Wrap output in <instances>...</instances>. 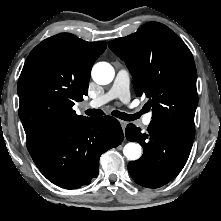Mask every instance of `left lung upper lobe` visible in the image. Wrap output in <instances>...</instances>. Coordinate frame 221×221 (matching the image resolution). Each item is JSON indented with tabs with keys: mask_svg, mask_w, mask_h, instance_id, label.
<instances>
[{
	"mask_svg": "<svg viewBox=\"0 0 221 221\" xmlns=\"http://www.w3.org/2000/svg\"><path fill=\"white\" fill-rule=\"evenodd\" d=\"M108 45L125 61L137 96L149 98L152 121L195 133L197 72L185 43L167 26L149 22Z\"/></svg>",
	"mask_w": 221,
	"mask_h": 221,
	"instance_id": "5c2ea615",
	"label": "left lung upper lobe"
}]
</instances>
